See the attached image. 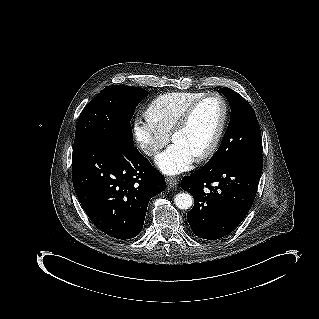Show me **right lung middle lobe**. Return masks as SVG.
I'll return each instance as SVG.
<instances>
[{
	"mask_svg": "<svg viewBox=\"0 0 319 319\" xmlns=\"http://www.w3.org/2000/svg\"><path fill=\"white\" fill-rule=\"evenodd\" d=\"M147 92L139 87L108 86L82 110L75 133L74 146L114 139L133 147L130 121Z\"/></svg>",
	"mask_w": 319,
	"mask_h": 319,
	"instance_id": "dd1d6c3e",
	"label": "right lung middle lobe"
}]
</instances>
